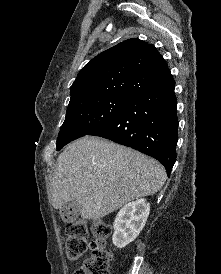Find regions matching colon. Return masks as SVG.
<instances>
[{"instance_id":"5ec220e1","label":"colon","mask_w":221,"mask_h":274,"mask_svg":"<svg viewBox=\"0 0 221 274\" xmlns=\"http://www.w3.org/2000/svg\"><path fill=\"white\" fill-rule=\"evenodd\" d=\"M93 240L90 243V256L75 271V274H110L109 265L112 253L106 245L111 235L110 225L103 220L91 224ZM66 253L70 259L81 257L88 248L89 227L84 219L70 221L66 225Z\"/></svg>"}]
</instances>
